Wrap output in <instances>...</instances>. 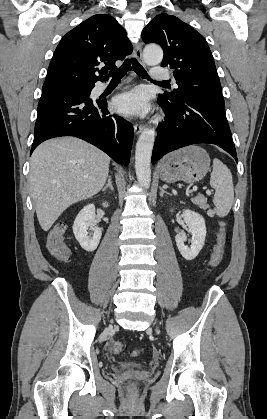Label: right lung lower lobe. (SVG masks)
Instances as JSON below:
<instances>
[{"instance_id": "98d812e1", "label": "right lung lower lobe", "mask_w": 267, "mask_h": 419, "mask_svg": "<svg viewBox=\"0 0 267 419\" xmlns=\"http://www.w3.org/2000/svg\"><path fill=\"white\" fill-rule=\"evenodd\" d=\"M93 88H42L31 153L47 139L75 136L95 145L116 162L129 164L133 126L110 114L106 101H92L89 96Z\"/></svg>"}]
</instances>
